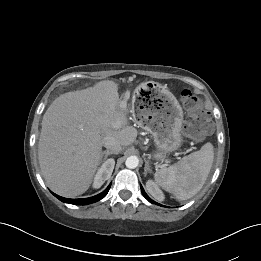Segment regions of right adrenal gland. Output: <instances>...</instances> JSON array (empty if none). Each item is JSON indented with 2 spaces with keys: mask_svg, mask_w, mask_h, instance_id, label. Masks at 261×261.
<instances>
[{
  "mask_svg": "<svg viewBox=\"0 0 261 261\" xmlns=\"http://www.w3.org/2000/svg\"><path fill=\"white\" fill-rule=\"evenodd\" d=\"M111 154H116L115 152H113V151H110V150H105V151H103L102 153H101V161L103 160H106L107 159V157L109 156V155H111Z\"/></svg>",
  "mask_w": 261,
  "mask_h": 261,
  "instance_id": "obj_1",
  "label": "right adrenal gland"
}]
</instances>
